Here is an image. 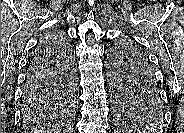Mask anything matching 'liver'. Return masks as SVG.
Masks as SVG:
<instances>
[{"instance_id": "liver-1", "label": "liver", "mask_w": 184, "mask_h": 133, "mask_svg": "<svg viewBox=\"0 0 184 133\" xmlns=\"http://www.w3.org/2000/svg\"><path fill=\"white\" fill-rule=\"evenodd\" d=\"M33 131H34V133H45V132L50 133L49 131H51V130L45 129L44 127H38L36 129H34ZM65 131H69V130H67V128H66Z\"/></svg>"}]
</instances>
